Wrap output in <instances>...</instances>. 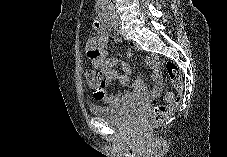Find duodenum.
I'll use <instances>...</instances> for the list:
<instances>
[{"instance_id": "1", "label": "duodenum", "mask_w": 227, "mask_h": 157, "mask_svg": "<svg viewBox=\"0 0 227 157\" xmlns=\"http://www.w3.org/2000/svg\"><path fill=\"white\" fill-rule=\"evenodd\" d=\"M108 21L111 23L113 19L111 17L107 19L105 14L100 15L97 25H92V30H105V25H107Z\"/></svg>"}]
</instances>
